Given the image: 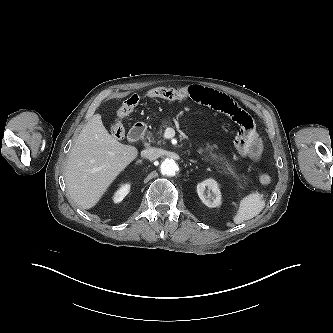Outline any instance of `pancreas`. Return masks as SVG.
Wrapping results in <instances>:
<instances>
[{"mask_svg":"<svg viewBox=\"0 0 333 333\" xmlns=\"http://www.w3.org/2000/svg\"><path fill=\"white\" fill-rule=\"evenodd\" d=\"M170 126V123L167 121H164L162 126L160 127V130L156 133V136L162 133V130ZM146 138L149 142H154V135L152 132H148ZM160 143V141H158ZM198 153L204 156V159L207 161H210L211 164H214L217 169H219L223 174H230L234 176L235 178L239 179L238 175L236 174L234 167L231 163L228 162V160L225 157L219 156L214 152V147L207 144L205 148L199 147ZM238 186L240 188L242 187L241 183H238Z\"/></svg>","mask_w":333,"mask_h":333,"instance_id":"obj_1","label":"pancreas"}]
</instances>
